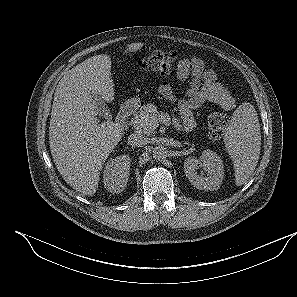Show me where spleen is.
Segmentation results:
<instances>
[{
	"label": "spleen",
	"mask_w": 297,
	"mask_h": 297,
	"mask_svg": "<svg viewBox=\"0 0 297 297\" xmlns=\"http://www.w3.org/2000/svg\"><path fill=\"white\" fill-rule=\"evenodd\" d=\"M224 143L233 160L236 185L241 186L253 174L261 149L260 125L253 105L243 103L234 111Z\"/></svg>",
	"instance_id": "1"
}]
</instances>
